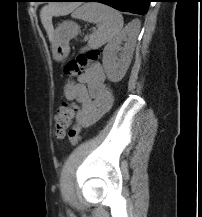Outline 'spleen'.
<instances>
[{
	"mask_svg": "<svg viewBox=\"0 0 202 217\" xmlns=\"http://www.w3.org/2000/svg\"><path fill=\"white\" fill-rule=\"evenodd\" d=\"M72 18L97 23L98 29L89 38V48H98L116 37L123 28L119 11L101 3H87L72 13ZM139 24L136 29L139 31Z\"/></svg>",
	"mask_w": 202,
	"mask_h": 217,
	"instance_id": "1",
	"label": "spleen"
}]
</instances>
